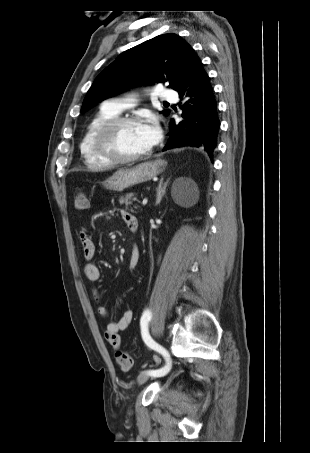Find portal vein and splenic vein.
<instances>
[{
    "mask_svg": "<svg viewBox=\"0 0 310 453\" xmlns=\"http://www.w3.org/2000/svg\"><path fill=\"white\" fill-rule=\"evenodd\" d=\"M147 202H148L147 198H144L142 201V205L145 206L147 204Z\"/></svg>",
    "mask_w": 310,
    "mask_h": 453,
    "instance_id": "1",
    "label": "portal vein and splenic vein"
}]
</instances>
